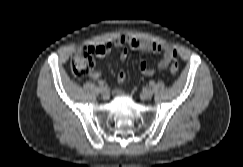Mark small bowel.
Segmentation results:
<instances>
[{"instance_id":"small-bowel-1","label":"small bowel","mask_w":243,"mask_h":167,"mask_svg":"<svg viewBox=\"0 0 243 167\" xmlns=\"http://www.w3.org/2000/svg\"><path fill=\"white\" fill-rule=\"evenodd\" d=\"M113 47H123L119 55V58L122 62L126 61L128 58L127 47L139 51H153L161 53L162 57L158 62V67L161 70L166 69L169 64L177 57V50L165 42L144 41L131 36H121L114 45L102 44L93 47V49L98 57H104L111 52ZM139 70L144 76L148 77L152 76L154 73V69L150 67L145 61L140 62ZM90 78L94 80L100 79L101 73L98 71H93L90 74ZM117 80L119 83H123L126 80V73L124 70H120L118 72Z\"/></svg>"}]
</instances>
